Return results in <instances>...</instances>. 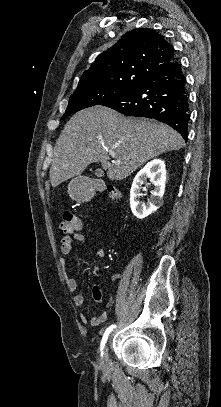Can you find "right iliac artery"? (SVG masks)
<instances>
[{
  "mask_svg": "<svg viewBox=\"0 0 221 407\" xmlns=\"http://www.w3.org/2000/svg\"><path fill=\"white\" fill-rule=\"evenodd\" d=\"M114 328H116V325H111V326H109V327L106 329V331H105V333H104V336H103V338H102V342H101V351L103 350L104 345H105V343H106V341H107V339H108V335L110 334V332H111ZM101 354H103V351L101 352Z\"/></svg>",
  "mask_w": 221,
  "mask_h": 407,
  "instance_id": "obj_1",
  "label": "right iliac artery"
}]
</instances>
